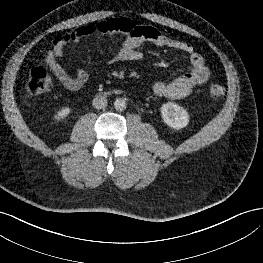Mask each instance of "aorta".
I'll use <instances>...</instances> for the list:
<instances>
[{
  "instance_id": "762f6f07",
  "label": "aorta",
  "mask_w": 263,
  "mask_h": 263,
  "mask_svg": "<svg viewBox=\"0 0 263 263\" xmlns=\"http://www.w3.org/2000/svg\"><path fill=\"white\" fill-rule=\"evenodd\" d=\"M126 101L125 99H122V98H119V99H116L115 102H114V108L117 110V111H124L126 109Z\"/></svg>"
}]
</instances>
